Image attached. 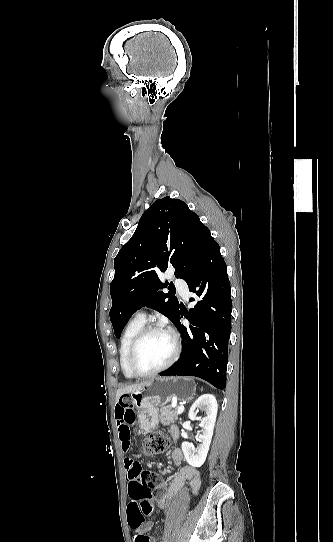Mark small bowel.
<instances>
[{"instance_id": "c3829d8e", "label": "small bowel", "mask_w": 333, "mask_h": 542, "mask_svg": "<svg viewBox=\"0 0 333 542\" xmlns=\"http://www.w3.org/2000/svg\"><path fill=\"white\" fill-rule=\"evenodd\" d=\"M132 402L130 400H123L115 406V417L117 426V438L121 450L127 453L131 448V430L135 413L132 409ZM170 435L174 439V436H179V429L177 426L170 428ZM171 459L174 466L178 467L183 461V454L181 450L174 449L171 453ZM133 462L130 459H126L125 465L128 468V478L133 482L132 467ZM186 482H189L193 494H197L201 485L200 474L196 468L192 466L181 467L175 476L173 477L169 488L166 493L157 500V505L161 509H165L181 492ZM131 492V486H130ZM137 507L134 501L128 507V524L133 527L134 530L139 531L142 529L143 524L141 521L136 520ZM152 528V523H147L143 530H149Z\"/></svg>"}]
</instances>
